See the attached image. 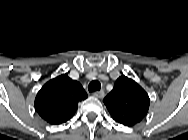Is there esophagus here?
Wrapping results in <instances>:
<instances>
[{"label":"esophagus","mask_w":188,"mask_h":140,"mask_svg":"<svg viewBox=\"0 0 188 140\" xmlns=\"http://www.w3.org/2000/svg\"><path fill=\"white\" fill-rule=\"evenodd\" d=\"M93 96H95V97H97V98H99V99H102V98H104L105 93H104L103 90L95 91V92L93 93Z\"/></svg>","instance_id":"esophagus-1"}]
</instances>
